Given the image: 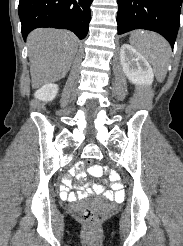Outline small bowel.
Listing matches in <instances>:
<instances>
[{
  "mask_svg": "<svg viewBox=\"0 0 183 246\" xmlns=\"http://www.w3.org/2000/svg\"><path fill=\"white\" fill-rule=\"evenodd\" d=\"M99 166V167H98ZM98 166L91 167L89 169V172L91 173V177L95 178L94 182L98 183L99 179L102 177V174H111V178L108 179L109 183L112 184V188L114 189V192L107 191L105 189V186L102 184H94L90 189H81L79 188L80 192L78 194H70L68 191L70 189V181L69 179H85V171L82 167V165H71L70 169L66 170V173L64 175V180L62 184H59V189H61V193L58 194L59 198H64L68 200H76L78 198L86 197L90 193H95L98 195H103L107 199L110 200H120L124 196L123 189L125 188L124 184H121L120 174H115V169H103V163L99 162ZM77 173V174H76ZM76 174V175H74Z\"/></svg>",
  "mask_w": 183,
  "mask_h": 246,
  "instance_id": "obj_1",
  "label": "small bowel"
}]
</instances>
